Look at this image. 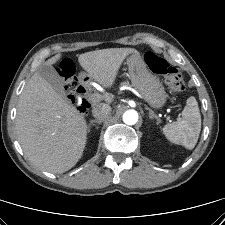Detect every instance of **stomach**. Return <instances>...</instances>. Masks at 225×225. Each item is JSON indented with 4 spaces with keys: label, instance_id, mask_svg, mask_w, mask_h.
Returning a JSON list of instances; mask_svg holds the SVG:
<instances>
[{
    "label": "stomach",
    "instance_id": "0dacf381",
    "mask_svg": "<svg viewBox=\"0 0 225 225\" xmlns=\"http://www.w3.org/2000/svg\"><path fill=\"white\" fill-rule=\"evenodd\" d=\"M127 64L132 86L152 108H162L167 101V93L159 78L149 71L142 56L133 53Z\"/></svg>",
    "mask_w": 225,
    "mask_h": 225
}]
</instances>
